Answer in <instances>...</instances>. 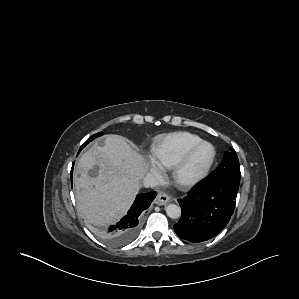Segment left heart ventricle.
<instances>
[{"label": "left heart ventricle", "mask_w": 299, "mask_h": 299, "mask_svg": "<svg viewBox=\"0 0 299 299\" xmlns=\"http://www.w3.org/2000/svg\"><path fill=\"white\" fill-rule=\"evenodd\" d=\"M212 156V149L210 146H203L195 154L187 173L193 175L201 171L209 162Z\"/></svg>", "instance_id": "b2bd125f"}]
</instances>
